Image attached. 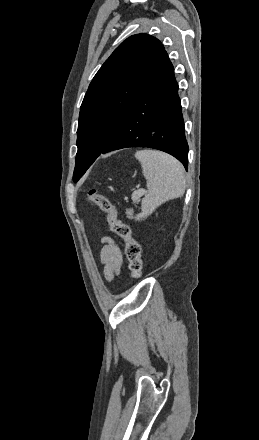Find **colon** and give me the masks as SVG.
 <instances>
[{"instance_id":"colon-1","label":"colon","mask_w":259,"mask_h":440,"mask_svg":"<svg viewBox=\"0 0 259 440\" xmlns=\"http://www.w3.org/2000/svg\"><path fill=\"white\" fill-rule=\"evenodd\" d=\"M86 195L91 203L105 212L110 230L125 243V255L129 263L131 275L134 278L140 277L143 266L142 248L140 243L133 237L131 228L118 218L115 206L107 197L94 189L88 190Z\"/></svg>"}]
</instances>
